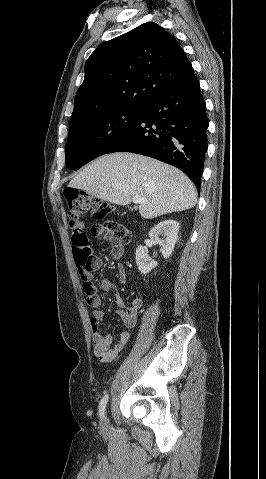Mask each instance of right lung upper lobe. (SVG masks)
I'll list each match as a JSON object with an SVG mask.
<instances>
[{
	"instance_id": "cb5924a9",
	"label": "right lung upper lobe",
	"mask_w": 266,
	"mask_h": 479,
	"mask_svg": "<svg viewBox=\"0 0 266 479\" xmlns=\"http://www.w3.org/2000/svg\"><path fill=\"white\" fill-rule=\"evenodd\" d=\"M194 75L175 37L154 22L100 44L85 64L71 121L144 107L164 89Z\"/></svg>"
}]
</instances>
